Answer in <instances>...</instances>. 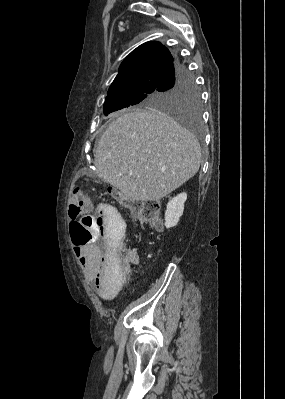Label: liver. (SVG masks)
I'll use <instances>...</instances> for the list:
<instances>
[{
    "label": "liver",
    "instance_id": "obj_1",
    "mask_svg": "<svg viewBox=\"0 0 285 399\" xmlns=\"http://www.w3.org/2000/svg\"><path fill=\"white\" fill-rule=\"evenodd\" d=\"M196 137L156 110L122 113L94 152L96 174L132 201L160 200L199 170Z\"/></svg>",
    "mask_w": 285,
    "mask_h": 399
}]
</instances>
